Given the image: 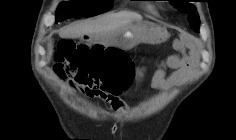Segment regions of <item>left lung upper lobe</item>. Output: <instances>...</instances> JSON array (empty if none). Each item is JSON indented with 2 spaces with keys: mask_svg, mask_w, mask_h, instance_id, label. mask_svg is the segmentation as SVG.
I'll use <instances>...</instances> for the list:
<instances>
[{
  "mask_svg": "<svg viewBox=\"0 0 236 140\" xmlns=\"http://www.w3.org/2000/svg\"><path fill=\"white\" fill-rule=\"evenodd\" d=\"M169 2L179 11L189 14L190 26L198 32L200 20L196 8L188 0H169Z\"/></svg>",
  "mask_w": 236,
  "mask_h": 140,
  "instance_id": "left-lung-upper-lobe-1",
  "label": "left lung upper lobe"
}]
</instances>
